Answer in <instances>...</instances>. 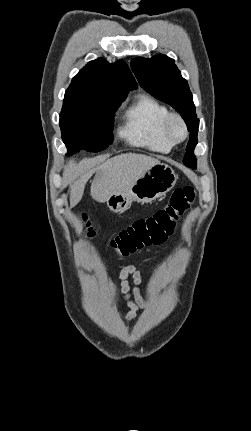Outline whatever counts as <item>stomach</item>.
Segmentation results:
<instances>
[{"label": "stomach", "instance_id": "1", "mask_svg": "<svg viewBox=\"0 0 251 431\" xmlns=\"http://www.w3.org/2000/svg\"><path fill=\"white\" fill-rule=\"evenodd\" d=\"M176 180L177 175L169 165L156 163L129 190L112 194L106 200L107 206L115 213H122L130 207L132 201L151 203L168 193Z\"/></svg>", "mask_w": 251, "mask_h": 431}]
</instances>
